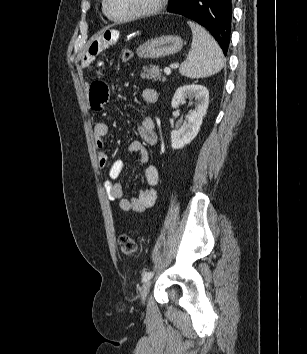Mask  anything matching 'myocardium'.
<instances>
[{"instance_id":"1","label":"myocardium","mask_w":307,"mask_h":354,"mask_svg":"<svg viewBox=\"0 0 307 354\" xmlns=\"http://www.w3.org/2000/svg\"><path fill=\"white\" fill-rule=\"evenodd\" d=\"M164 1L165 0H153L148 7H146L145 9L139 12L126 15V16H115L110 11L109 0H103V10L106 16L112 21L128 22V21L137 20L155 14L162 8Z\"/></svg>"}]
</instances>
